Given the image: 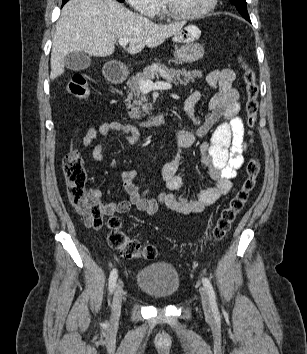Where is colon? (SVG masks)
<instances>
[{"mask_svg":"<svg viewBox=\"0 0 307 354\" xmlns=\"http://www.w3.org/2000/svg\"><path fill=\"white\" fill-rule=\"evenodd\" d=\"M242 67L246 90L245 112L247 124L252 129L255 126L258 112L259 89L254 71L246 63H242ZM67 89L71 96L78 99H85L89 95L87 80L81 74H75L71 78ZM62 168L67 182L69 200L88 226L99 228L104 224L105 216L110 215L105 221V226L109 230L107 242L112 249L119 251L124 258L150 260L156 256V248L153 245H142L139 241L129 238L121 228L120 219L109 214L106 205L95 199L86 189L87 173L82 155L78 150L72 149L64 156ZM259 168V162L255 157L248 161L246 176L240 189L230 200L228 206L221 211L214 225L213 238L216 241L226 238L237 214L248 201L256 185Z\"/></svg>","mask_w":307,"mask_h":354,"instance_id":"obj_1","label":"colon"}]
</instances>
